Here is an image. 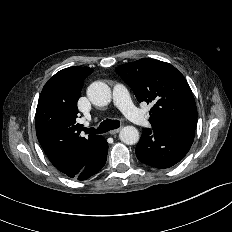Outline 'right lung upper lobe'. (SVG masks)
Here are the masks:
<instances>
[{
	"mask_svg": "<svg viewBox=\"0 0 232 232\" xmlns=\"http://www.w3.org/2000/svg\"><path fill=\"white\" fill-rule=\"evenodd\" d=\"M89 67H69L57 72L44 85L36 109L35 125L39 143L51 163L68 177H75L102 145L103 137L80 136L82 125L77 101Z\"/></svg>",
	"mask_w": 232,
	"mask_h": 232,
	"instance_id": "1",
	"label": "right lung upper lobe"
}]
</instances>
